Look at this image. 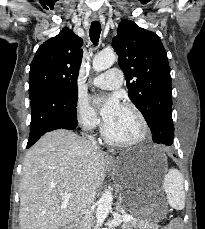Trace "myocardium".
<instances>
[{"instance_id":"myocardium-1","label":"myocardium","mask_w":205,"mask_h":229,"mask_svg":"<svg viewBox=\"0 0 205 229\" xmlns=\"http://www.w3.org/2000/svg\"><path fill=\"white\" fill-rule=\"evenodd\" d=\"M123 106L126 107L127 109L131 110L135 114V116L137 117L138 122H139V133L134 138H131V139H124V140L115 139V138L111 137L109 135V133L107 132L105 123L102 125L101 132H102L103 138L108 143H110L112 145L133 146V145H136V144L142 142L145 139V137L147 136L148 123L146 121L145 116L143 115L141 110L136 105H134L133 103H130V102H126L123 104Z\"/></svg>"}]
</instances>
